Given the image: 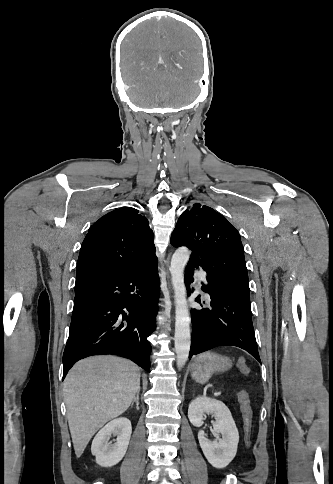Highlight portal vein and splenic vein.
<instances>
[{"label": "portal vein and splenic vein", "instance_id": "18ae733b", "mask_svg": "<svg viewBox=\"0 0 333 484\" xmlns=\"http://www.w3.org/2000/svg\"><path fill=\"white\" fill-rule=\"evenodd\" d=\"M214 395H215V396H219V395H221V391H217V392H215V393H214Z\"/></svg>", "mask_w": 333, "mask_h": 484}]
</instances>
